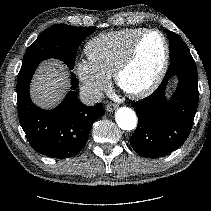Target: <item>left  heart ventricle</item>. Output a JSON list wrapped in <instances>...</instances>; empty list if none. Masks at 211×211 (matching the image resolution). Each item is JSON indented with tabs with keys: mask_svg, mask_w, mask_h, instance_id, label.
I'll use <instances>...</instances> for the list:
<instances>
[{
	"mask_svg": "<svg viewBox=\"0 0 211 211\" xmlns=\"http://www.w3.org/2000/svg\"><path fill=\"white\" fill-rule=\"evenodd\" d=\"M163 55L164 47L161 37L157 33L146 35L134 64L122 77V87L128 91H135L148 85L156 76Z\"/></svg>",
	"mask_w": 211,
	"mask_h": 211,
	"instance_id": "obj_1",
	"label": "left heart ventricle"
}]
</instances>
